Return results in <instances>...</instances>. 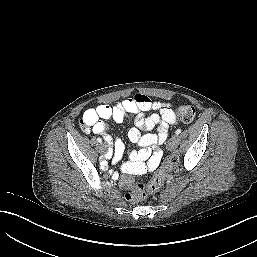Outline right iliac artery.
I'll list each match as a JSON object with an SVG mask.
<instances>
[{
	"label": "right iliac artery",
	"instance_id": "obj_1",
	"mask_svg": "<svg viewBox=\"0 0 257 257\" xmlns=\"http://www.w3.org/2000/svg\"><path fill=\"white\" fill-rule=\"evenodd\" d=\"M97 141L99 142V143H101L102 142V139L101 138H97ZM107 157H108V154L106 155ZM106 157V158H107ZM102 164H105L104 162H102Z\"/></svg>",
	"mask_w": 257,
	"mask_h": 257
}]
</instances>
